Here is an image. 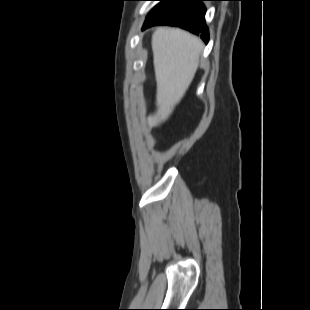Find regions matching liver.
Listing matches in <instances>:
<instances>
[{
    "instance_id": "liver-1",
    "label": "liver",
    "mask_w": 310,
    "mask_h": 310,
    "mask_svg": "<svg viewBox=\"0 0 310 310\" xmlns=\"http://www.w3.org/2000/svg\"><path fill=\"white\" fill-rule=\"evenodd\" d=\"M157 81V112L150 126L159 125L172 113L195 75L202 42L187 31L160 27L152 38Z\"/></svg>"
}]
</instances>
